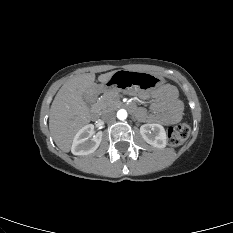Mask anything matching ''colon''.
<instances>
[{"label":"colon","mask_w":233,"mask_h":233,"mask_svg":"<svg viewBox=\"0 0 233 233\" xmlns=\"http://www.w3.org/2000/svg\"><path fill=\"white\" fill-rule=\"evenodd\" d=\"M190 134V128L186 123H180L176 126H171L167 130V140L172 146L181 145Z\"/></svg>","instance_id":"colon-1"}]
</instances>
